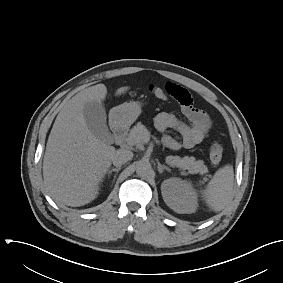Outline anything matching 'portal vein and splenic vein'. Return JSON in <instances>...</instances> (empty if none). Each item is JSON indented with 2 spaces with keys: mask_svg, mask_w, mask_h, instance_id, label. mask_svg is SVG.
<instances>
[{
  "mask_svg": "<svg viewBox=\"0 0 283 283\" xmlns=\"http://www.w3.org/2000/svg\"><path fill=\"white\" fill-rule=\"evenodd\" d=\"M149 140H150L149 135H146V136L144 137V140H143V141H144L145 143H147Z\"/></svg>",
  "mask_w": 283,
  "mask_h": 283,
  "instance_id": "18ae733b",
  "label": "portal vein and splenic vein"
}]
</instances>
